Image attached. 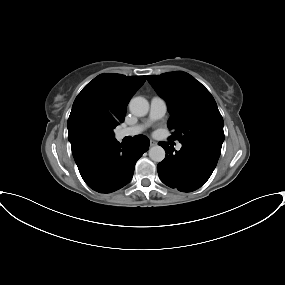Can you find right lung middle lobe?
Returning <instances> with one entry per match:
<instances>
[{
    "label": "right lung middle lobe",
    "mask_w": 285,
    "mask_h": 285,
    "mask_svg": "<svg viewBox=\"0 0 285 285\" xmlns=\"http://www.w3.org/2000/svg\"><path fill=\"white\" fill-rule=\"evenodd\" d=\"M116 124H90L86 130V137L90 144L107 143L114 138L113 129Z\"/></svg>",
    "instance_id": "right-lung-middle-lobe-1"
}]
</instances>
